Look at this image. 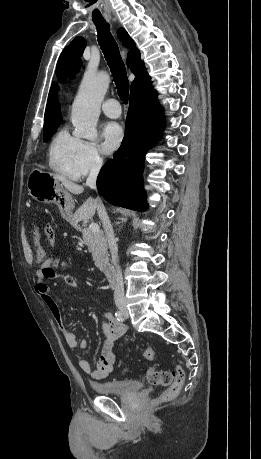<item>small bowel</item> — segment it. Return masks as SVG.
<instances>
[{"mask_svg": "<svg viewBox=\"0 0 261 459\" xmlns=\"http://www.w3.org/2000/svg\"><path fill=\"white\" fill-rule=\"evenodd\" d=\"M46 231L51 234L53 232V227L48 225L46 227ZM48 280H61L68 286L80 288L78 280L71 275L56 273L50 268L48 262H46L42 264L37 272L35 291L47 306L51 316L59 329L62 331L68 346L71 348L85 349L87 347V341L83 338H79L76 333L67 329L60 309L50 293L49 285L46 282ZM102 329L105 335V340L96 366L93 367L91 362L85 357L79 359L80 368L96 380L103 379L112 373L116 360L113 349L118 340L126 332V326L118 321L112 313L108 312L104 315Z\"/></svg>", "mask_w": 261, "mask_h": 459, "instance_id": "c3829d8e", "label": "small bowel"}]
</instances>
